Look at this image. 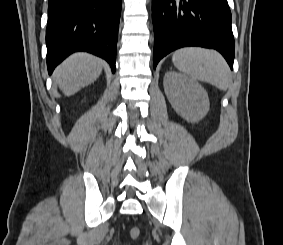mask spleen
<instances>
[{
    "label": "spleen",
    "instance_id": "1",
    "mask_svg": "<svg viewBox=\"0 0 283 245\" xmlns=\"http://www.w3.org/2000/svg\"><path fill=\"white\" fill-rule=\"evenodd\" d=\"M174 66L194 80L208 82L225 91L231 83L225 60L212 50L200 47L178 49L172 56Z\"/></svg>",
    "mask_w": 283,
    "mask_h": 245
}]
</instances>
